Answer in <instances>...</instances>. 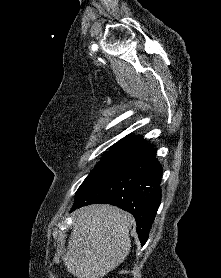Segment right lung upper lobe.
I'll list each match as a JSON object with an SVG mask.
<instances>
[{
  "instance_id": "cb5924a9",
  "label": "right lung upper lobe",
  "mask_w": 221,
  "mask_h": 278,
  "mask_svg": "<svg viewBox=\"0 0 221 278\" xmlns=\"http://www.w3.org/2000/svg\"><path fill=\"white\" fill-rule=\"evenodd\" d=\"M118 144L130 146L134 149H144L149 146H152L150 144L145 143L142 138H137V137H126L120 140Z\"/></svg>"
}]
</instances>
